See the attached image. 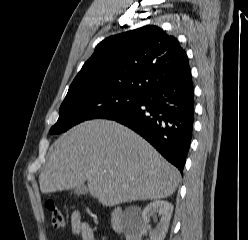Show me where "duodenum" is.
<instances>
[{
	"mask_svg": "<svg viewBox=\"0 0 248 240\" xmlns=\"http://www.w3.org/2000/svg\"><path fill=\"white\" fill-rule=\"evenodd\" d=\"M111 226L115 231L121 232L125 228V221L123 219V211L117 207L111 213Z\"/></svg>",
	"mask_w": 248,
	"mask_h": 240,
	"instance_id": "obj_1",
	"label": "duodenum"
}]
</instances>
